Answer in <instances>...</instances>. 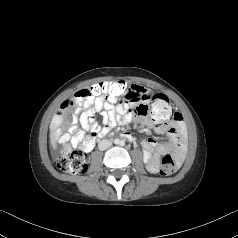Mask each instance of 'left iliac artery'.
Returning a JSON list of instances; mask_svg holds the SVG:
<instances>
[{
  "instance_id": "44dca946",
  "label": "left iliac artery",
  "mask_w": 238,
  "mask_h": 238,
  "mask_svg": "<svg viewBox=\"0 0 238 238\" xmlns=\"http://www.w3.org/2000/svg\"><path fill=\"white\" fill-rule=\"evenodd\" d=\"M121 145L123 146V145H124V142H121Z\"/></svg>"
}]
</instances>
